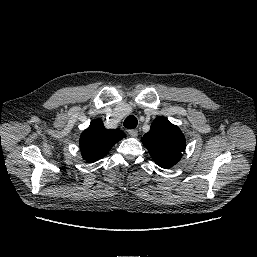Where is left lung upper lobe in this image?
Returning a JSON list of instances; mask_svg holds the SVG:
<instances>
[{"label":"left lung upper lobe","instance_id":"obj_1","mask_svg":"<svg viewBox=\"0 0 257 257\" xmlns=\"http://www.w3.org/2000/svg\"><path fill=\"white\" fill-rule=\"evenodd\" d=\"M142 143L156 164L165 169L171 168L181 159L186 146L179 127L164 117H157L153 121L150 131L142 137Z\"/></svg>","mask_w":257,"mask_h":257}]
</instances>
